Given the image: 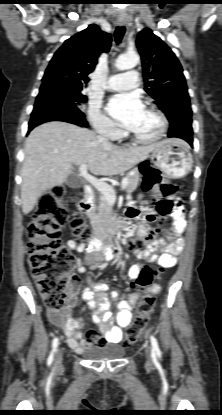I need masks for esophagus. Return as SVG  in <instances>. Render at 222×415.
<instances>
[{
    "instance_id": "esophagus-1",
    "label": "esophagus",
    "mask_w": 222,
    "mask_h": 415,
    "mask_svg": "<svg viewBox=\"0 0 222 415\" xmlns=\"http://www.w3.org/2000/svg\"><path fill=\"white\" fill-rule=\"evenodd\" d=\"M127 20L126 19H120L119 20V22H118V24L120 25V26H123V25H126L127 24Z\"/></svg>"
}]
</instances>
